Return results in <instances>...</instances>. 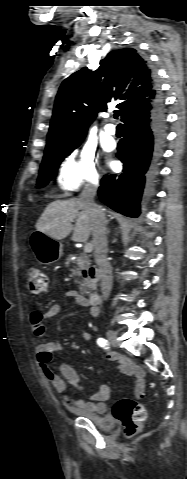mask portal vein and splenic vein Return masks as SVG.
<instances>
[{"mask_svg":"<svg viewBox=\"0 0 187 479\" xmlns=\"http://www.w3.org/2000/svg\"><path fill=\"white\" fill-rule=\"evenodd\" d=\"M92 251V245L91 244H86L84 246V252L90 253Z\"/></svg>","mask_w":187,"mask_h":479,"instance_id":"portal-vein-and-splenic-vein-1","label":"portal vein and splenic vein"}]
</instances>
